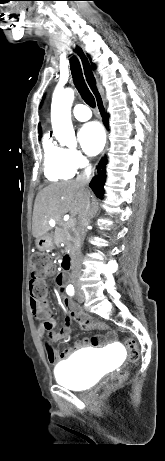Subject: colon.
<instances>
[{"label": "colon", "mask_w": 165, "mask_h": 461, "mask_svg": "<svg viewBox=\"0 0 165 461\" xmlns=\"http://www.w3.org/2000/svg\"><path fill=\"white\" fill-rule=\"evenodd\" d=\"M54 274V268L45 255L38 254L33 257L31 263V281L30 291L32 298L39 304L46 307L47 289L44 280ZM128 356L130 361L136 362L139 359V349L134 339L129 338L126 341ZM127 373L122 371L110 376L104 383V392L112 391L118 388L126 379Z\"/></svg>", "instance_id": "1"}]
</instances>
